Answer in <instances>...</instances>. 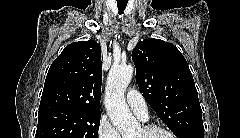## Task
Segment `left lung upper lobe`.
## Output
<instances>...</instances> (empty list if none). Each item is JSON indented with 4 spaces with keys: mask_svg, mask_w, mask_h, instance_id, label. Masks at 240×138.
Here are the masks:
<instances>
[{
    "mask_svg": "<svg viewBox=\"0 0 240 138\" xmlns=\"http://www.w3.org/2000/svg\"><path fill=\"white\" fill-rule=\"evenodd\" d=\"M136 79L148 104L177 138L204 131L202 110L187 61L171 43L140 41L132 52Z\"/></svg>",
    "mask_w": 240,
    "mask_h": 138,
    "instance_id": "5c2ea615",
    "label": "left lung upper lobe"
}]
</instances>
